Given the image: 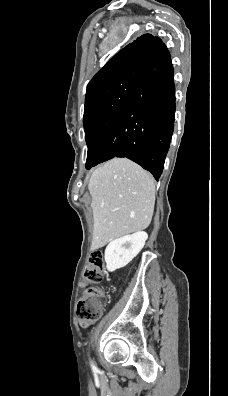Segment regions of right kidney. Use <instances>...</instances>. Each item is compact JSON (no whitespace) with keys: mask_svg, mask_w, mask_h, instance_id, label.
I'll return each instance as SVG.
<instances>
[{"mask_svg":"<svg viewBox=\"0 0 228 396\" xmlns=\"http://www.w3.org/2000/svg\"><path fill=\"white\" fill-rule=\"evenodd\" d=\"M147 238V233L141 231L110 242L105 249L107 270L113 272L125 267L141 251Z\"/></svg>","mask_w":228,"mask_h":396,"instance_id":"obj_1","label":"right kidney"}]
</instances>
